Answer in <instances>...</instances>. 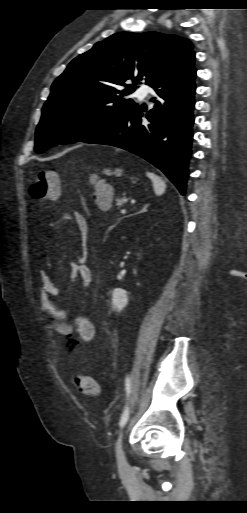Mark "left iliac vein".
Instances as JSON below:
<instances>
[{"mask_svg": "<svg viewBox=\"0 0 247 513\" xmlns=\"http://www.w3.org/2000/svg\"><path fill=\"white\" fill-rule=\"evenodd\" d=\"M123 435H124L123 431H121L119 434L118 440L116 442V460H117V465H118V469L120 472H124L128 468V463H127L125 453L123 450V446H122Z\"/></svg>", "mask_w": 247, "mask_h": 513, "instance_id": "1", "label": "left iliac vein"}]
</instances>
